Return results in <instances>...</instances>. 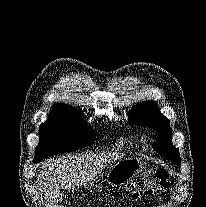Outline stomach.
<instances>
[{
    "mask_svg": "<svg viewBox=\"0 0 206 207\" xmlns=\"http://www.w3.org/2000/svg\"><path fill=\"white\" fill-rule=\"evenodd\" d=\"M143 166L144 163L140 159L125 158L110 168L105 183L112 187L120 186L139 174Z\"/></svg>",
    "mask_w": 206,
    "mask_h": 207,
    "instance_id": "1",
    "label": "stomach"
}]
</instances>
